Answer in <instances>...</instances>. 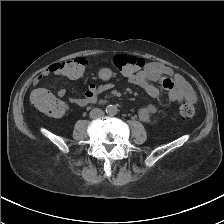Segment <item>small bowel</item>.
Masks as SVG:
<instances>
[{
	"label": "small bowel",
	"mask_w": 224,
	"mask_h": 224,
	"mask_svg": "<svg viewBox=\"0 0 224 224\" xmlns=\"http://www.w3.org/2000/svg\"><path fill=\"white\" fill-rule=\"evenodd\" d=\"M59 65L60 62H55L47 66L35 78L34 84L37 86L44 78L51 74L61 75ZM98 76L103 82L102 84L96 85L91 83L84 97H68L69 102L79 107L93 104L97 101L99 94L114 88L115 84L111 81V72L108 69H101ZM127 78L131 84L139 86L152 98L157 99L160 97V89L155 85V83H158L162 89L167 91L168 97L172 102L179 103L183 100L189 102L196 101V94L185 78L163 63L149 62L144 69L135 74L127 75ZM57 95L59 97H64L66 95V90L60 88ZM156 111L157 109L153 105L141 106L138 109V117L145 123L155 124L156 120L152 117Z\"/></svg>",
	"instance_id": "obj_1"
}]
</instances>
